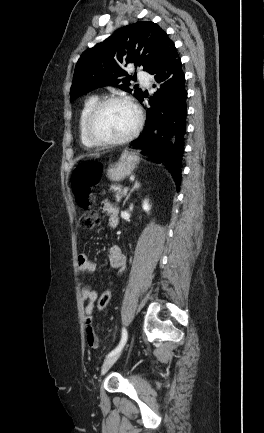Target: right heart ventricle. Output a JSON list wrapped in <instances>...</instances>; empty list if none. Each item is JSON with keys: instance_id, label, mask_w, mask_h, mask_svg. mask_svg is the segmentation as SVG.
<instances>
[{"instance_id": "e07e8e85", "label": "right heart ventricle", "mask_w": 264, "mask_h": 433, "mask_svg": "<svg viewBox=\"0 0 264 433\" xmlns=\"http://www.w3.org/2000/svg\"><path fill=\"white\" fill-rule=\"evenodd\" d=\"M99 100L97 95H91L89 96L83 103L82 108L80 110L79 119H78V131H79V137L83 145L85 146H92V144L89 142L88 138L86 137L85 131H84V124L87 114L89 113L90 109L97 103Z\"/></svg>"}]
</instances>
